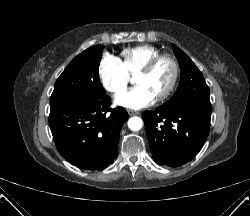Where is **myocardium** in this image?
I'll return each mask as SVG.
<instances>
[{
    "label": "myocardium",
    "mask_w": 250,
    "mask_h": 216,
    "mask_svg": "<svg viewBox=\"0 0 250 216\" xmlns=\"http://www.w3.org/2000/svg\"><path fill=\"white\" fill-rule=\"evenodd\" d=\"M162 61H167L171 65L172 73L167 87L162 92H160L158 95L155 96L157 101L163 100L166 97H168L176 86L179 76V65L176 59L171 55L167 54L158 55L153 59H151L142 69H140L136 73V76L149 74Z\"/></svg>",
    "instance_id": "myocardium-1"
}]
</instances>
